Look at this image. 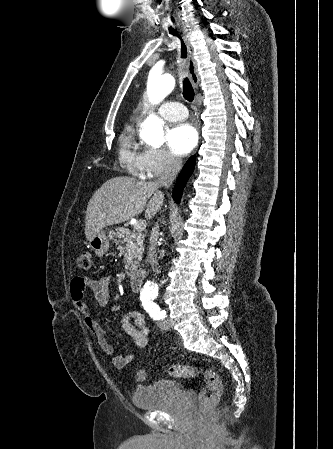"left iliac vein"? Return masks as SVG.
<instances>
[{
    "label": "left iliac vein",
    "mask_w": 333,
    "mask_h": 449,
    "mask_svg": "<svg viewBox=\"0 0 333 449\" xmlns=\"http://www.w3.org/2000/svg\"><path fill=\"white\" fill-rule=\"evenodd\" d=\"M160 328L162 330H168L170 328L169 320L168 319L162 320V322L160 323Z\"/></svg>",
    "instance_id": "left-iliac-vein-1"
}]
</instances>
